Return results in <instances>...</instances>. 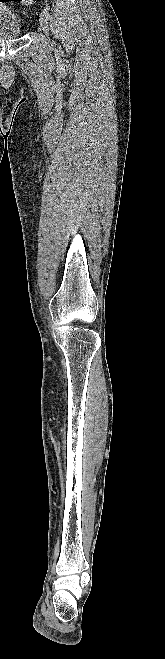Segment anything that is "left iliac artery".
<instances>
[{
  "label": "left iliac artery",
  "instance_id": "44dca946",
  "mask_svg": "<svg viewBox=\"0 0 165 659\" xmlns=\"http://www.w3.org/2000/svg\"><path fill=\"white\" fill-rule=\"evenodd\" d=\"M47 20L50 18V13L47 9H44L41 13Z\"/></svg>",
  "mask_w": 165,
  "mask_h": 659
}]
</instances>
